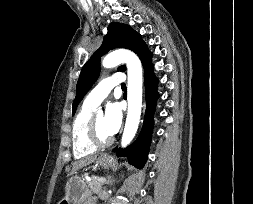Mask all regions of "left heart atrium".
Instances as JSON below:
<instances>
[{
  "mask_svg": "<svg viewBox=\"0 0 253 204\" xmlns=\"http://www.w3.org/2000/svg\"><path fill=\"white\" fill-rule=\"evenodd\" d=\"M105 128L110 135H114L120 129L122 123V110L118 103H109L104 115Z\"/></svg>",
  "mask_w": 253,
  "mask_h": 204,
  "instance_id": "obj_1",
  "label": "left heart atrium"
}]
</instances>
